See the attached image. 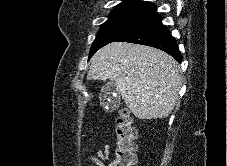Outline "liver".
<instances>
[{
  "instance_id": "obj_1",
  "label": "liver",
  "mask_w": 227,
  "mask_h": 166,
  "mask_svg": "<svg viewBox=\"0 0 227 166\" xmlns=\"http://www.w3.org/2000/svg\"><path fill=\"white\" fill-rule=\"evenodd\" d=\"M90 62L87 79L115 82L137 118L162 119L174 109L182 80L179 64L167 53L116 42L99 49Z\"/></svg>"
}]
</instances>
